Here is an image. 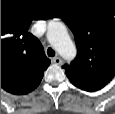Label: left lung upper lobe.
I'll return each instance as SVG.
<instances>
[{
  "label": "left lung upper lobe",
  "instance_id": "obj_1",
  "mask_svg": "<svg viewBox=\"0 0 115 114\" xmlns=\"http://www.w3.org/2000/svg\"><path fill=\"white\" fill-rule=\"evenodd\" d=\"M72 30L77 56L63 68L76 87L99 90L115 76V19L111 14L86 11L63 17Z\"/></svg>",
  "mask_w": 115,
  "mask_h": 114
}]
</instances>
